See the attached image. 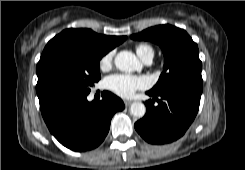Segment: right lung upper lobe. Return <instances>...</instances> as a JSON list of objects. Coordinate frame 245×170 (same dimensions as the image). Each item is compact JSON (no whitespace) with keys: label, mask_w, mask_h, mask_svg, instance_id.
Masks as SVG:
<instances>
[{"label":"right lung upper lobe","mask_w":245,"mask_h":170,"mask_svg":"<svg viewBox=\"0 0 245 170\" xmlns=\"http://www.w3.org/2000/svg\"><path fill=\"white\" fill-rule=\"evenodd\" d=\"M126 38V36L99 35L90 29H66L51 39L46 46L70 47L103 57Z\"/></svg>","instance_id":"obj_1"}]
</instances>
